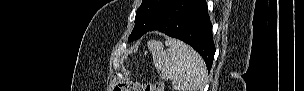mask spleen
<instances>
[{"label":"spleen","instance_id":"3e777b00","mask_svg":"<svg viewBox=\"0 0 304 91\" xmlns=\"http://www.w3.org/2000/svg\"><path fill=\"white\" fill-rule=\"evenodd\" d=\"M162 43L152 41L149 48L153 63L176 91H197L206 79V66L201 56L184 42L169 38Z\"/></svg>","mask_w":304,"mask_h":91}]
</instances>
